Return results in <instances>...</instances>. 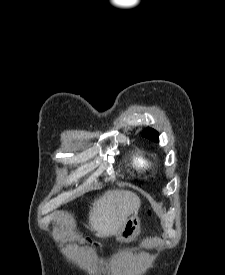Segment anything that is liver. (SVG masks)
<instances>
[{
  "mask_svg": "<svg viewBox=\"0 0 225 275\" xmlns=\"http://www.w3.org/2000/svg\"><path fill=\"white\" fill-rule=\"evenodd\" d=\"M140 198L131 191L108 190L95 199L89 213L91 229L97 237L115 235L127 219L138 212Z\"/></svg>",
  "mask_w": 225,
  "mask_h": 275,
  "instance_id": "liver-1",
  "label": "liver"
}]
</instances>
